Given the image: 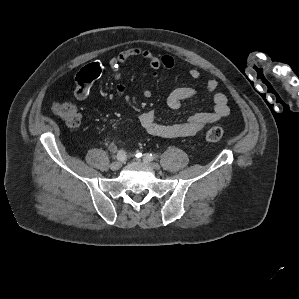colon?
<instances>
[{
  "label": "colon",
  "mask_w": 299,
  "mask_h": 299,
  "mask_svg": "<svg viewBox=\"0 0 299 299\" xmlns=\"http://www.w3.org/2000/svg\"><path fill=\"white\" fill-rule=\"evenodd\" d=\"M52 110L55 115L60 117L68 127L75 129L81 123V113L78 108L71 102L55 101L52 104ZM224 131L222 128L214 126L206 130L205 138L210 142H216L223 138Z\"/></svg>",
  "instance_id": "5ec220e1"
}]
</instances>
